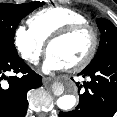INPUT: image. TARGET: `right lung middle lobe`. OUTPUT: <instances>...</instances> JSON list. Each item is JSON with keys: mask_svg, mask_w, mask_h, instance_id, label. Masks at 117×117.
<instances>
[{"mask_svg": "<svg viewBox=\"0 0 117 117\" xmlns=\"http://www.w3.org/2000/svg\"><path fill=\"white\" fill-rule=\"evenodd\" d=\"M43 4L44 2L0 3V55H17L14 34L19 22L23 17Z\"/></svg>", "mask_w": 117, "mask_h": 117, "instance_id": "obj_1", "label": "right lung middle lobe"}]
</instances>
